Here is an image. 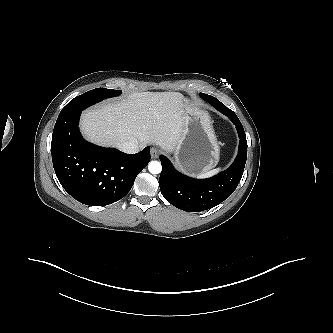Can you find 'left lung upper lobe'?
I'll return each instance as SVG.
<instances>
[{"mask_svg": "<svg viewBox=\"0 0 333 333\" xmlns=\"http://www.w3.org/2000/svg\"><path fill=\"white\" fill-rule=\"evenodd\" d=\"M205 94L204 93H200V97L202 98Z\"/></svg>", "mask_w": 333, "mask_h": 333, "instance_id": "obj_1", "label": "left lung upper lobe"}]
</instances>
